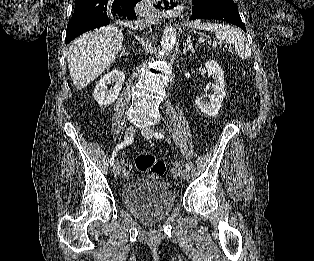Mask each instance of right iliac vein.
I'll list each match as a JSON object with an SVG mask.
<instances>
[{"instance_id": "63e3f726", "label": "right iliac vein", "mask_w": 314, "mask_h": 261, "mask_svg": "<svg viewBox=\"0 0 314 261\" xmlns=\"http://www.w3.org/2000/svg\"><path fill=\"white\" fill-rule=\"evenodd\" d=\"M136 132V128L134 126H129L125 131V138L130 139ZM113 172L116 176H118L121 172V167L118 161L115 162L113 166Z\"/></svg>"}]
</instances>
